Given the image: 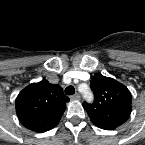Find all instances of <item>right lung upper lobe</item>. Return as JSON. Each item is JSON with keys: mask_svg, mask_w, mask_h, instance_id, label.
Masks as SVG:
<instances>
[{"mask_svg": "<svg viewBox=\"0 0 145 145\" xmlns=\"http://www.w3.org/2000/svg\"><path fill=\"white\" fill-rule=\"evenodd\" d=\"M68 101L61 86L43 79L28 85L19 93L15 102L16 113L27 129L46 132L59 123Z\"/></svg>", "mask_w": 145, "mask_h": 145, "instance_id": "1", "label": "right lung upper lobe"}]
</instances>
